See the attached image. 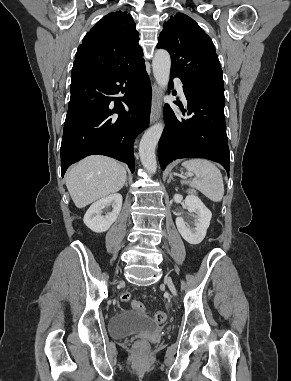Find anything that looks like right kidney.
<instances>
[{"label":"right kidney","instance_id":"ca27d5eb","mask_svg":"<svg viewBox=\"0 0 291 381\" xmlns=\"http://www.w3.org/2000/svg\"><path fill=\"white\" fill-rule=\"evenodd\" d=\"M112 206V211L102 215L104 209ZM122 208V195L111 194L94 202L84 215V224L93 232L107 231L117 219Z\"/></svg>","mask_w":291,"mask_h":381}]
</instances>
